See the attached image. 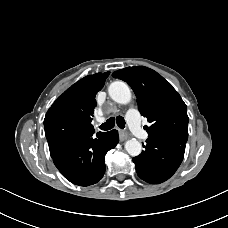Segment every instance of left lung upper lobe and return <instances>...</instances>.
<instances>
[{"mask_svg":"<svg viewBox=\"0 0 228 228\" xmlns=\"http://www.w3.org/2000/svg\"><path fill=\"white\" fill-rule=\"evenodd\" d=\"M112 76L127 82L133 89L141 115L151 124L147 127L149 136H167L187 142V106L168 81L144 66L127 67Z\"/></svg>","mask_w":228,"mask_h":228,"instance_id":"1","label":"left lung upper lobe"}]
</instances>
